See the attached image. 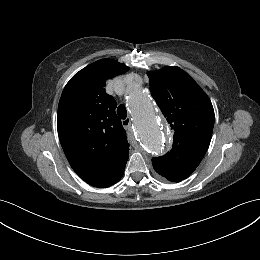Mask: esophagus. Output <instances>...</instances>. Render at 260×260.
Here are the masks:
<instances>
[{
  "mask_svg": "<svg viewBox=\"0 0 260 260\" xmlns=\"http://www.w3.org/2000/svg\"><path fill=\"white\" fill-rule=\"evenodd\" d=\"M122 125H123V127H125V128H129L130 125H131V119L128 117V118L122 120Z\"/></svg>",
  "mask_w": 260,
  "mask_h": 260,
  "instance_id": "obj_1",
  "label": "esophagus"
}]
</instances>
